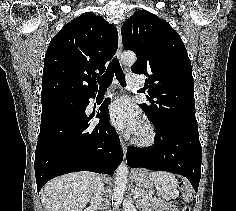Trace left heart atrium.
I'll list each match as a JSON object with an SVG mask.
<instances>
[{"label":"left heart atrium","instance_id":"left-heart-atrium-1","mask_svg":"<svg viewBox=\"0 0 236 211\" xmlns=\"http://www.w3.org/2000/svg\"><path fill=\"white\" fill-rule=\"evenodd\" d=\"M108 116L113 125L128 131H135L141 124L138 110L125 97L109 105Z\"/></svg>","mask_w":236,"mask_h":211}]
</instances>
